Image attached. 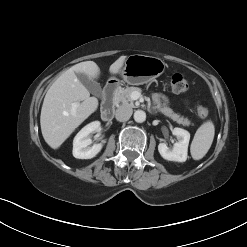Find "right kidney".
I'll return each instance as SVG.
<instances>
[{"instance_id":"right-kidney-1","label":"right kidney","mask_w":247,"mask_h":247,"mask_svg":"<svg viewBox=\"0 0 247 247\" xmlns=\"http://www.w3.org/2000/svg\"><path fill=\"white\" fill-rule=\"evenodd\" d=\"M100 130V122L94 121L83 127L73 140V156L78 159H91L102 149L103 143L92 144L90 134Z\"/></svg>"}]
</instances>
